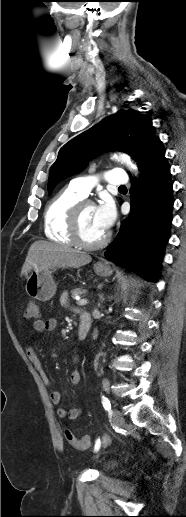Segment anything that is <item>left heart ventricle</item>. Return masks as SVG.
Returning <instances> with one entry per match:
<instances>
[{
    "instance_id": "left-heart-ventricle-1",
    "label": "left heart ventricle",
    "mask_w": 186,
    "mask_h": 517,
    "mask_svg": "<svg viewBox=\"0 0 186 517\" xmlns=\"http://www.w3.org/2000/svg\"><path fill=\"white\" fill-rule=\"evenodd\" d=\"M80 225L81 234L86 241H97L106 234V230H104L96 220L94 206L88 205L83 208Z\"/></svg>"
}]
</instances>
